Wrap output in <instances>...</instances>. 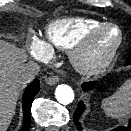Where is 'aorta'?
I'll return each mask as SVG.
<instances>
[{
  "label": "aorta",
  "instance_id": "aorta-1",
  "mask_svg": "<svg viewBox=\"0 0 131 131\" xmlns=\"http://www.w3.org/2000/svg\"><path fill=\"white\" fill-rule=\"evenodd\" d=\"M55 98L59 103L67 105L74 100L73 89L66 84L58 85L55 89Z\"/></svg>",
  "mask_w": 131,
  "mask_h": 131
}]
</instances>
